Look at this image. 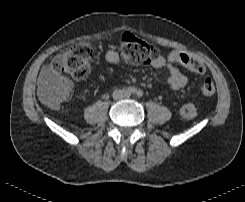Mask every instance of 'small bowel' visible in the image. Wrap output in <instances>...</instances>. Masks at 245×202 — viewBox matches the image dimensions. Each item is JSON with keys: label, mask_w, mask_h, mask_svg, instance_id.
<instances>
[{"label": "small bowel", "mask_w": 245, "mask_h": 202, "mask_svg": "<svg viewBox=\"0 0 245 202\" xmlns=\"http://www.w3.org/2000/svg\"><path fill=\"white\" fill-rule=\"evenodd\" d=\"M177 51H171L167 56L158 55V58L152 61L151 65L155 69H165L168 73V83L173 90H180L187 85V77L185 74L175 65ZM104 59L109 64H117L120 62V55L118 51L114 49H108L104 54ZM59 85L65 89L70 95L73 91L74 84L67 78H57L53 75L49 67L45 66L42 71V77L39 82V90H43L46 87Z\"/></svg>", "instance_id": "1"}]
</instances>
